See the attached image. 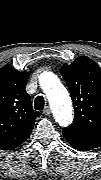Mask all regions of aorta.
Returning a JSON list of instances; mask_svg holds the SVG:
<instances>
[{
  "mask_svg": "<svg viewBox=\"0 0 101 180\" xmlns=\"http://www.w3.org/2000/svg\"><path fill=\"white\" fill-rule=\"evenodd\" d=\"M40 84L50 103L53 115L61 126H67L73 119V108L68 91L52 72L40 76Z\"/></svg>",
  "mask_w": 101,
  "mask_h": 180,
  "instance_id": "762f6f07",
  "label": "aorta"
}]
</instances>
